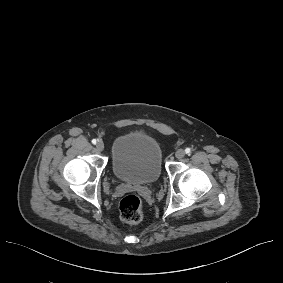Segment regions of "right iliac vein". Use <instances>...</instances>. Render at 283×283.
Instances as JSON below:
<instances>
[{
    "label": "right iliac vein",
    "mask_w": 283,
    "mask_h": 283,
    "mask_svg": "<svg viewBox=\"0 0 283 283\" xmlns=\"http://www.w3.org/2000/svg\"><path fill=\"white\" fill-rule=\"evenodd\" d=\"M96 148L98 151H103L104 150V144L102 142H98L96 144Z\"/></svg>",
    "instance_id": "1"
}]
</instances>
